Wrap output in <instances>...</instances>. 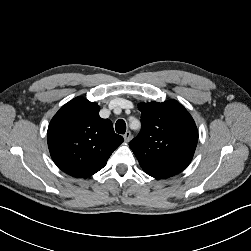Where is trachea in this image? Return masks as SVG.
Masks as SVG:
<instances>
[{
  "mask_svg": "<svg viewBox=\"0 0 251 251\" xmlns=\"http://www.w3.org/2000/svg\"><path fill=\"white\" fill-rule=\"evenodd\" d=\"M115 130L119 134H124L126 132V123L124 120L119 119L115 124Z\"/></svg>",
  "mask_w": 251,
  "mask_h": 251,
  "instance_id": "obj_1",
  "label": "trachea"
}]
</instances>
